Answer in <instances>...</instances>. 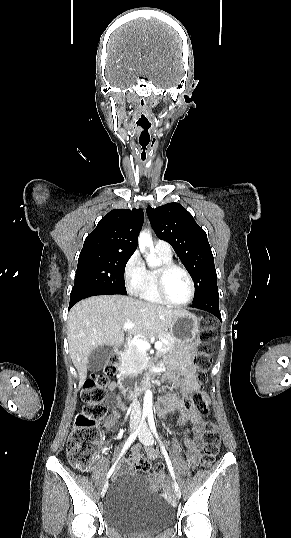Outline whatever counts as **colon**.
Returning a JSON list of instances; mask_svg holds the SVG:
<instances>
[{
    "mask_svg": "<svg viewBox=\"0 0 291 538\" xmlns=\"http://www.w3.org/2000/svg\"><path fill=\"white\" fill-rule=\"evenodd\" d=\"M200 337L204 342L215 337L213 321L204 318L201 321ZM211 349L202 344L198 347V353L193 359L197 380L204 384L207 381L208 371L211 367ZM119 355L114 353L106 363L103 373L92 374L85 382L82 393L83 406L77 415L73 431L68 440V458L70 463L81 471L89 470L98 457V446L102 434L101 427L107 426L104 418L107 414V406L104 403L105 388L109 384V376L114 375L119 367ZM189 411L206 416L209 412V396L202 389L189 397L184 404ZM220 449V435L214 423L206 425L203 441V454L205 465H210L218 455ZM137 469L148 471L151 463L141 458L137 462ZM158 476L164 477L163 466H155Z\"/></svg>",
    "mask_w": 291,
    "mask_h": 538,
    "instance_id": "obj_1",
    "label": "colon"
}]
</instances>
